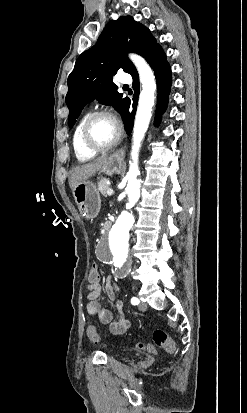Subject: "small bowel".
<instances>
[{
  "mask_svg": "<svg viewBox=\"0 0 247 413\" xmlns=\"http://www.w3.org/2000/svg\"><path fill=\"white\" fill-rule=\"evenodd\" d=\"M119 291L120 286L115 282H110L105 286L108 300L114 304L118 311L117 317L113 318L110 310L102 307L99 302L101 294L100 282L98 289H86L87 313L90 316L97 317L101 324L109 325L110 331L117 335L124 333L130 326V322L122 310V302L116 301L115 298L116 293Z\"/></svg>",
  "mask_w": 247,
  "mask_h": 413,
  "instance_id": "small-bowel-1",
  "label": "small bowel"
}]
</instances>
